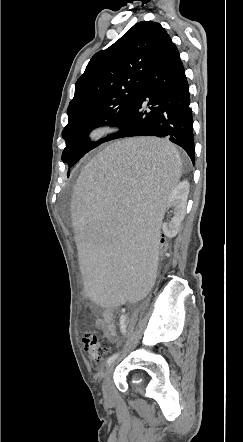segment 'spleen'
<instances>
[{
  "instance_id": "1",
  "label": "spleen",
  "mask_w": 243,
  "mask_h": 442,
  "mask_svg": "<svg viewBox=\"0 0 243 442\" xmlns=\"http://www.w3.org/2000/svg\"><path fill=\"white\" fill-rule=\"evenodd\" d=\"M182 171L177 149L156 138L120 141L85 164L73 193L72 226L91 302L137 307L152 291L164 203Z\"/></svg>"
}]
</instances>
